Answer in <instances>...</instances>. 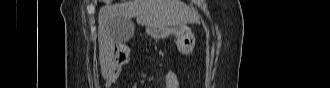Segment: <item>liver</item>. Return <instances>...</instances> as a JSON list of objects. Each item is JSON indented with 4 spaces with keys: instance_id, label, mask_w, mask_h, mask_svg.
<instances>
[{
    "instance_id": "obj_1",
    "label": "liver",
    "mask_w": 330,
    "mask_h": 88,
    "mask_svg": "<svg viewBox=\"0 0 330 88\" xmlns=\"http://www.w3.org/2000/svg\"><path fill=\"white\" fill-rule=\"evenodd\" d=\"M145 25L147 33L155 28L184 25L196 19L193 11L181 0H128L103 6L98 14L99 60L102 76L108 78L118 36L116 23L130 21Z\"/></svg>"
}]
</instances>
